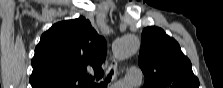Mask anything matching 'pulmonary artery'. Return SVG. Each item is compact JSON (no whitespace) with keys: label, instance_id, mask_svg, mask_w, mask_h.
Returning a JSON list of instances; mask_svg holds the SVG:
<instances>
[{"label":"pulmonary artery","instance_id":"pulmonary-artery-1","mask_svg":"<svg viewBox=\"0 0 223 88\" xmlns=\"http://www.w3.org/2000/svg\"><path fill=\"white\" fill-rule=\"evenodd\" d=\"M142 81V74L139 69L131 68L124 79L117 81L112 87L120 88V87H135L139 86Z\"/></svg>","mask_w":223,"mask_h":88}]
</instances>
